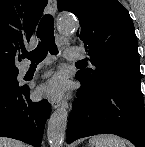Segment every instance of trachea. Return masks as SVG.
Wrapping results in <instances>:
<instances>
[{"label": "trachea", "mask_w": 145, "mask_h": 147, "mask_svg": "<svg viewBox=\"0 0 145 147\" xmlns=\"http://www.w3.org/2000/svg\"><path fill=\"white\" fill-rule=\"evenodd\" d=\"M37 37L41 40L37 48L31 52L23 51L22 53V58L30 59L32 65L42 62L48 52L52 55L58 53L54 37V19L50 14L44 15L41 19L37 29Z\"/></svg>", "instance_id": "3493384b"}]
</instances>
